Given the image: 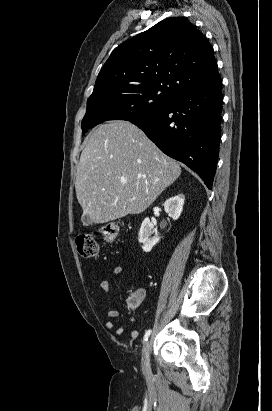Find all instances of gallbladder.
Listing matches in <instances>:
<instances>
[{"mask_svg": "<svg viewBox=\"0 0 272 411\" xmlns=\"http://www.w3.org/2000/svg\"><path fill=\"white\" fill-rule=\"evenodd\" d=\"M81 220L85 225L91 224L88 216H82Z\"/></svg>", "mask_w": 272, "mask_h": 411, "instance_id": "bac80fb5", "label": "gallbladder"}]
</instances>
